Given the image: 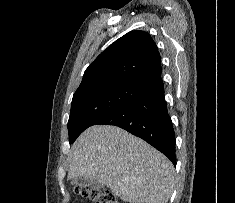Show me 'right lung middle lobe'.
<instances>
[{"instance_id":"obj_1","label":"right lung middle lobe","mask_w":235,"mask_h":203,"mask_svg":"<svg viewBox=\"0 0 235 203\" xmlns=\"http://www.w3.org/2000/svg\"><path fill=\"white\" fill-rule=\"evenodd\" d=\"M147 86L127 81H110L77 90L68 121L69 143L101 117L141 94Z\"/></svg>"}]
</instances>
